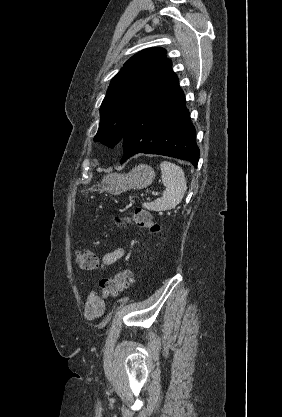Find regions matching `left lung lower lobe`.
<instances>
[{
  "mask_svg": "<svg viewBox=\"0 0 282 417\" xmlns=\"http://www.w3.org/2000/svg\"><path fill=\"white\" fill-rule=\"evenodd\" d=\"M122 140L121 163L137 153H145L187 160L197 167L196 130L172 69L131 114Z\"/></svg>",
  "mask_w": 282,
  "mask_h": 417,
  "instance_id": "obj_1",
  "label": "left lung lower lobe"
}]
</instances>
